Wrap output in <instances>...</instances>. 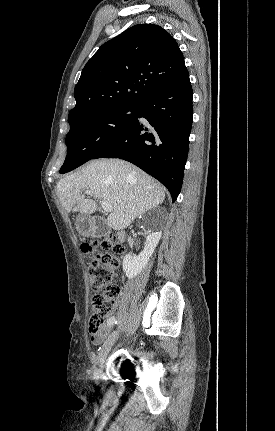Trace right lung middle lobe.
<instances>
[{"instance_id":"right-lung-middle-lobe-1","label":"right lung middle lobe","mask_w":275,"mask_h":431,"mask_svg":"<svg viewBox=\"0 0 275 431\" xmlns=\"http://www.w3.org/2000/svg\"><path fill=\"white\" fill-rule=\"evenodd\" d=\"M136 106H115L89 113L70 124L68 152L60 173L93 159L135 120Z\"/></svg>"}]
</instances>
